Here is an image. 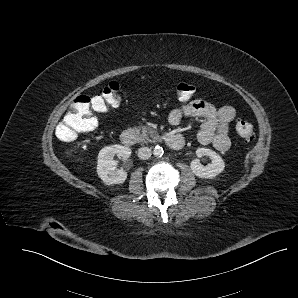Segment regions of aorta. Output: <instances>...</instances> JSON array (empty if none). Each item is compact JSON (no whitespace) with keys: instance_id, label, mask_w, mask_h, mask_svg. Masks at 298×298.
Returning a JSON list of instances; mask_svg holds the SVG:
<instances>
[{"instance_id":"762f6f07","label":"aorta","mask_w":298,"mask_h":298,"mask_svg":"<svg viewBox=\"0 0 298 298\" xmlns=\"http://www.w3.org/2000/svg\"><path fill=\"white\" fill-rule=\"evenodd\" d=\"M163 152H164V150H163V148L160 145H156L154 147V149H153V154L155 156H162L163 155Z\"/></svg>"}]
</instances>
